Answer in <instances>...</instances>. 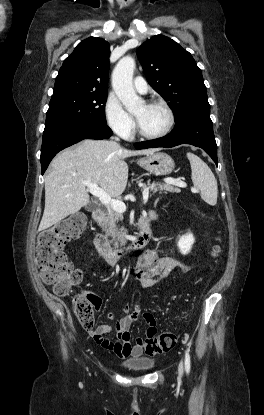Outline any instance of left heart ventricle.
I'll return each instance as SVG.
<instances>
[{
    "label": "left heart ventricle",
    "instance_id": "left-heart-ventricle-1",
    "mask_svg": "<svg viewBox=\"0 0 264 415\" xmlns=\"http://www.w3.org/2000/svg\"><path fill=\"white\" fill-rule=\"evenodd\" d=\"M140 129L146 134H156L164 130L168 122V115L159 106L142 104L134 112Z\"/></svg>",
    "mask_w": 264,
    "mask_h": 415
}]
</instances>
